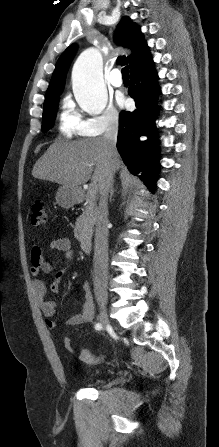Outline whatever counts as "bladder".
Returning a JSON list of instances; mask_svg holds the SVG:
<instances>
[{
  "label": "bladder",
  "mask_w": 219,
  "mask_h": 447,
  "mask_svg": "<svg viewBox=\"0 0 219 447\" xmlns=\"http://www.w3.org/2000/svg\"><path fill=\"white\" fill-rule=\"evenodd\" d=\"M95 379V377L94 376H87V377H85V381H87V382H90V381H93Z\"/></svg>",
  "instance_id": "obj_1"
}]
</instances>
